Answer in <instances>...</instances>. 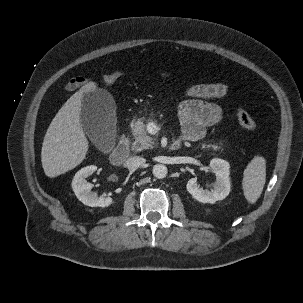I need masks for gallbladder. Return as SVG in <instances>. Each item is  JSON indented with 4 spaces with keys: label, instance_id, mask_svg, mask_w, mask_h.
<instances>
[{
    "label": "gallbladder",
    "instance_id": "gallbladder-1",
    "mask_svg": "<svg viewBox=\"0 0 303 303\" xmlns=\"http://www.w3.org/2000/svg\"><path fill=\"white\" fill-rule=\"evenodd\" d=\"M116 107L111 94L96 89L83 94L80 123L94 145L106 149L114 140Z\"/></svg>",
    "mask_w": 303,
    "mask_h": 303
}]
</instances>
